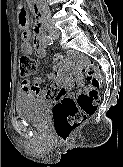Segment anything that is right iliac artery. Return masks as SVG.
<instances>
[{
	"label": "right iliac artery",
	"mask_w": 123,
	"mask_h": 167,
	"mask_svg": "<svg viewBox=\"0 0 123 167\" xmlns=\"http://www.w3.org/2000/svg\"><path fill=\"white\" fill-rule=\"evenodd\" d=\"M43 40L46 45H51L53 43V38L49 35H45Z\"/></svg>",
	"instance_id": "82829eb1"
}]
</instances>
